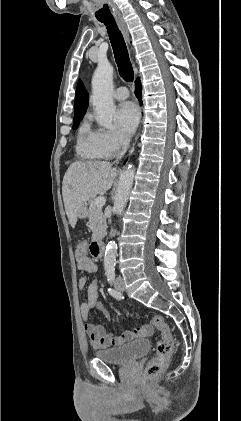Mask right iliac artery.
<instances>
[{
  "mask_svg": "<svg viewBox=\"0 0 241 421\" xmlns=\"http://www.w3.org/2000/svg\"><path fill=\"white\" fill-rule=\"evenodd\" d=\"M108 290H109L110 295L113 296L114 298H116L118 300H121L123 298L122 295L119 292H117L116 290L111 289V288H109Z\"/></svg>",
  "mask_w": 241,
  "mask_h": 421,
  "instance_id": "1",
  "label": "right iliac artery"
}]
</instances>
